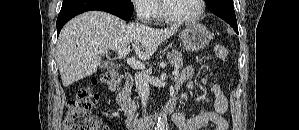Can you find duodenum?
I'll use <instances>...</instances> for the list:
<instances>
[{
	"mask_svg": "<svg viewBox=\"0 0 299 130\" xmlns=\"http://www.w3.org/2000/svg\"><path fill=\"white\" fill-rule=\"evenodd\" d=\"M133 85V77L130 73L125 74L124 85L116 96V104L120 111L125 115L126 125L129 130H146L153 127L156 122V116L139 118L135 115L130 104V93ZM177 101L171 100L163 111V115L174 118L177 115Z\"/></svg>",
	"mask_w": 299,
	"mask_h": 130,
	"instance_id": "duodenum-1",
	"label": "duodenum"
}]
</instances>
